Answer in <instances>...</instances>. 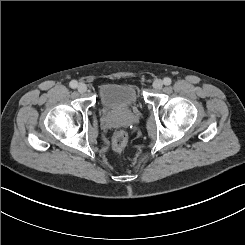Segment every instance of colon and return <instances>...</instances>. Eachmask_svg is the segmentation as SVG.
I'll list each match as a JSON object with an SVG mask.
<instances>
[{"mask_svg":"<svg viewBox=\"0 0 245 245\" xmlns=\"http://www.w3.org/2000/svg\"><path fill=\"white\" fill-rule=\"evenodd\" d=\"M127 134L120 130L116 132L112 138V148L116 152H122L127 145Z\"/></svg>","mask_w":245,"mask_h":245,"instance_id":"5ec220e1","label":"colon"}]
</instances>
